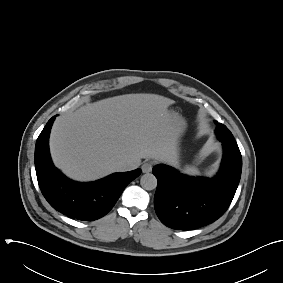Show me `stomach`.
Wrapping results in <instances>:
<instances>
[{
	"label": "stomach",
	"mask_w": 283,
	"mask_h": 283,
	"mask_svg": "<svg viewBox=\"0 0 283 283\" xmlns=\"http://www.w3.org/2000/svg\"><path fill=\"white\" fill-rule=\"evenodd\" d=\"M170 124L174 130L176 150L179 149L180 140L186 130L185 120L176 112L168 111Z\"/></svg>",
	"instance_id": "stomach-1"
}]
</instances>
